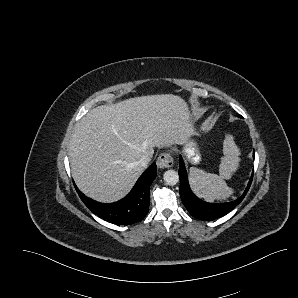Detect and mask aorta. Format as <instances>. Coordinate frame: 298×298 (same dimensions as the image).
<instances>
[{
  "label": "aorta",
  "mask_w": 298,
  "mask_h": 298,
  "mask_svg": "<svg viewBox=\"0 0 298 298\" xmlns=\"http://www.w3.org/2000/svg\"><path fill=\"white\" fill-rule=\"evenodd\" d=\"M163 180L168 185H176L179 182V174L174 169H168L163 173Z\"/></svg>",
  "instance_id": "aorta-1"
}]
</instances>
